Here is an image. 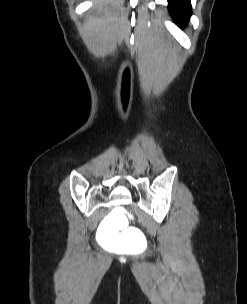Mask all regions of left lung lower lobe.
<instances>
[{
	"label": "left lung lower lobe",
	"instance_id": "obj_1",
	"mask_svg": "<svg viewBox=\"0 0 247 304\" xmlns=\"http://www.w3.org/2000/svg\"><path fill=\"white\" fill-rule=\"evenodd\" d=\"M168 9L173 19L184 26L192 14L190 0H168Z\"/></svg>",
	"mask_w": 247,
	"mask_h": 304
}]
</instances>
